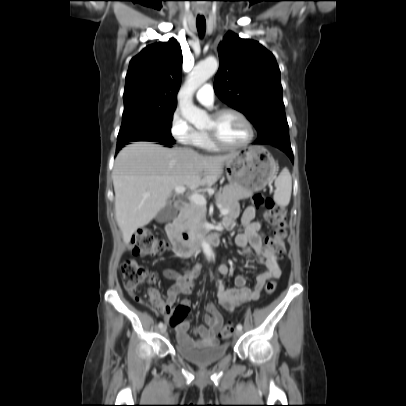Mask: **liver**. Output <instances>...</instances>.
Returning <instances> with one entry per match:
<instances>
[{
	"label": "liver",
	"instance_id": "6515ba94",
	"mask_svg": "<svg viewBox=\"0 0 406 406\" xmlns=\"http://www.w3.org/2000/svg\"><path fill=\"white\" fill-rule=\"evenodd\" d=\"M234 154L204 156L185 148L139 141L123 148L113 168L115 218L128 244L134 232L151 222L177 186L195 191L212 185Z\"/></svg>",
	"mask_w": 406,
	"mask_h": 406
}]
</instances>
